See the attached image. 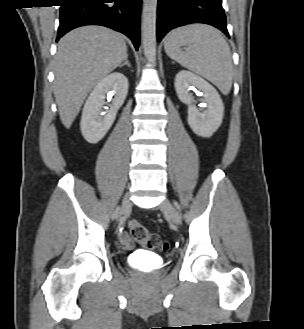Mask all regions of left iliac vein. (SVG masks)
I'll return each instance as SVG.
<instances>
[{"mask_svg":"<svg viewBox=\"0 0 304 329\" xmlns=\"http://www.w3.org/2000/svg\"><path fill=\"white\" fill-rule=\"evenodd\" d=\"M160 210L166 214H168L175 224H180L181 222V214L180 212L173 206V204L165 199L159 206Z\"/></svg>","mask_w":304,"mask_h":329,"instance_id":"left-iliac-vein-1","label":"left iliac vein"}]
</instances>
